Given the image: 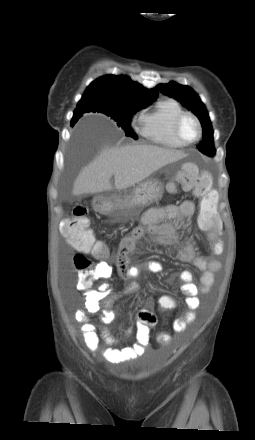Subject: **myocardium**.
I'll return each mask as SVG.
<instances>
[{
	"mask_svg": "<svg viewBox=\"0 0 255 440\" xmlns=\"http://www.w3.org/2000/svg\"><path fill=\"white\" fill-rule=\"evenodd\" d=\"M186 118H190V119H192V120L194 121V123L196 124V127H197V135H196L195 139L190 140V141H189V140H186V139L182 136L181 131H180L181 124H182V122H183ZM173 132H174V135H175V137L177 138V140H178L180 143H182V144H184L185 146H187V145L194 144L195 142H197V141L201 138V136H202V125H201V122H200L199 118H198L194 113L184 111L183 113H181V114L176 118V120H175V122H174V125H173Z\"/></svg>",
	"mask_w": 255,
	"mask_h": 440,
	"instance_id": "myocardium-1",
	"label": "myocardium"
}]
</instances>
